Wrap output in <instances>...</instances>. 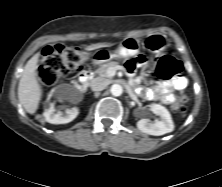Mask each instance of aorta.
Here are the masks:
<instances>
[{"label":"aorta","mask_w":222,"mask_h":187,"mask_svg":"<svg viewBox=\"0 0 222 187\" xmlns=\"http://www.w3.org/2000/svg\"><path fill=\"white\" fill-rule=\"evenodd\" d=\"M110 92L113 96H120L123 93V88L119 84H113L110 88Z\"/></svg>","instance_id":"1"}]
</instances>
